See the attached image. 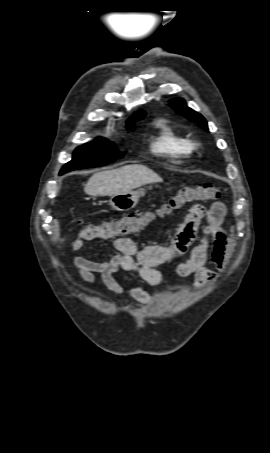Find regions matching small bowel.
I'll list each match as a JSON object with an SVG mask.
<instances>
[{
    "label": "small bowel",
    "instance_id": "small-bowel-1",
    "mask_svg": "<svg viewBox=\"0 0 270 453\" xmlns=\"http://www.w3.org/2000/svg\"><path fill=\"white\" fill-rule=\"evenodd\" d=\"M225 216L226 207L222 202H215L208 209L203 205L195 204L176 229L169 245L140 246L130 238L119 237L113 241L114 255L109 260L97 261L77 256L73 258V264L86 284L94 285L97 273L112 293L126 294L146 303L150 300V295L134 278L126 277L125 279L132 286L129 289H123L116 281L115 274L132 272L147 285L155 287L163 278L157 266L174 262L189 251V258L177 264L176 274L180 278L194 275L196 287L201 289L213 283L225 266L228 244L223 228ZM199 233L201 236L198 239ZM96 239L103 238H87L79 234L77 238L71 240L70 248L80 250ZM197 239L198 243L194 245ZM209 259L216 266L215 270L206 267Z\"/></svg>",
    "mask_w": 270,
    "mask_h": 453
}]
</instances>
